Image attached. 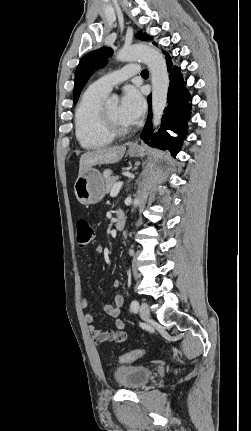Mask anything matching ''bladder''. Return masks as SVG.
Listing matches in <instances>:
<instances>
[{
	"mask_svg": "<svg viewBox=\"0 0 251 431\" xmlns=\"http://www.w3.org/2000/svg\"><path fill=\"white\" fill-rule=\"evenodd\" d=\"M151 370L141 365H121L114 370L116 383L125 389H137L151 378Z\"/></svg>",
	"mask_w": 251,
	"mask_h": 431,
	"instance_id": "1",
	"label": "bladder"
}]
</instances>
